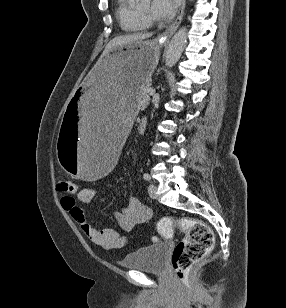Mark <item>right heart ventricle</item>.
Here are the masks:
<instances>
[{
    "label": "right heart ventricle",
    "mask_w": 286,
    "mask_h": 308,
    "mask_svg": "<svg viewBox=\"0 0 286 308\" xmlns=\"http://www.w3.org/2000/svg\"><path fill=\"white\" fill-rule=\"evenodd\" d=\"M116 18L121 29L128 33L143 32L149 27V23L131 6L129 0H117Z\"/></svg>",
    "instance_id": "1"
}]
</instances>
